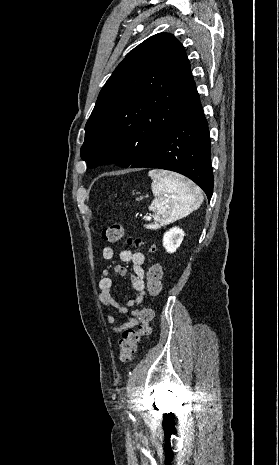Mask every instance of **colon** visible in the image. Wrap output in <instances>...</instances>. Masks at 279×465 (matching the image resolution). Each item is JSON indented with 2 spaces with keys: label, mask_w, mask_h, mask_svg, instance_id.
Wrapping results in <instances>:
<instances>
[{
  "label": "colon",
  "mask_w": 279,
  "mask_h": 465,
  "mask_svg": "<svg viewBox=\"0 0 279 465\" xmlns=\"http://www.w3.org/2000/svg\"><path fill=\"white\" fill-rule=\"evenodd\" d=\"M102 237L105 241L116 243L124 239L126 244L140 246L142 244L139 238L126 237L124 238L123 227L116 222L106 227L102 232ZM150 251H154L153 248ZM147 292L150 297L158 295L162 289V267L158 263L152 264L146 274ZM153 312L149 307H143L138 312L140 324L138 329H128L122 334L119 342V360L122 363H129L134 357L137 345L142 337L151 332L150 321L152 320Z\"/></svg>",
  "instance_id": "obj_1"
}]
</instances>
